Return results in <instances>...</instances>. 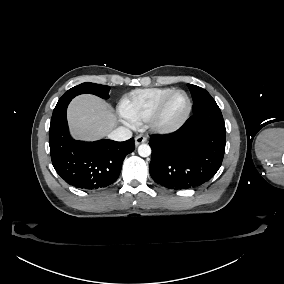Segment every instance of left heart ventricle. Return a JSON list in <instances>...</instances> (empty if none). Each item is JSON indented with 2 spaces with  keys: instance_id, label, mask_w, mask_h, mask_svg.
<instances>
[{
  "instance_id": "b2bd125f",
  "label": "left heart ventricle",
  "mask_w": 284,
  "mask_h": 284,
  "mask_svg": "<svg viewBox=\"0 0 284 284\" xmlns=\"http://www.w3.org/2000/svg\"><path fill=\"white\" fill-rule=\"evenodd\" d=\"M187 106V96L184 92L173 94L157 120L158 125L161 127H171L177 124L185 115Z\"/></svg>"
}]
</instances>
